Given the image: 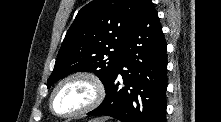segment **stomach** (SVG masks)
<instances>
[{
    "label": "stomach",
    "instance_id": "stomach-1",
    "mask_svg": "<svg viewBox=\"0 0 221 122\" xmlns=\"http://www.w3.org/2000/svg\"><path fill=\"white\" fill-rule=\"evenodd\" d=\"M107 118H96L93 120H90L89 122H106Z\"/></svg>",
    "mask_w": 221,
    "mask_h": 122
}]
</instances>
